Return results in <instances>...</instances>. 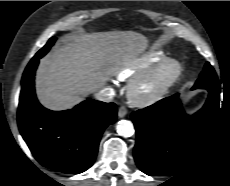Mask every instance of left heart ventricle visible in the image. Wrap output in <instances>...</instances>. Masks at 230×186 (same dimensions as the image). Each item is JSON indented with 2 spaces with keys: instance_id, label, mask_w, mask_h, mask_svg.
I'll return each instance as SVG.
<instances>
[{
  "instance_id": "obj_1",
  "label": "left heart ventricle",
  "mask_w": 230,
  "mask_h": 186,
  "mask_svg": "<svg viewBox=\"0 0 230 186\" xmlns=\"http://www.w3.org/2000/svg\"><path fill=\"white\" fill-rule=\"evenodd\" d=\"M151 85H148L146 88H149Z\"/></svg>"
}]
</instances>
